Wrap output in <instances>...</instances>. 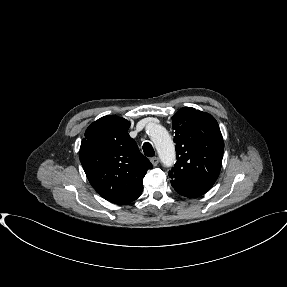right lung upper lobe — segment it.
Instances as JSON below:
<instances>
[{"label":"right lung upper lobe","mask_w":287,"mask_h":287,"mask_svg":"<svg viewBox=\"0 0 287 287\" xmlns=\"http://www.w3.org/2000/svg\"><path fill=\"white\" fill-rule=\"evenodd\" d=\"M130 122L113 115L93 122L81 142L80 161L93 188L107 201L126 204L143 190L150 161L129 136Z\"/></svg>","instance_id":"obj_1"}]
</instances>
